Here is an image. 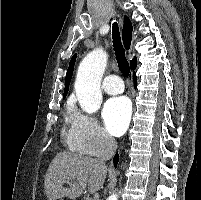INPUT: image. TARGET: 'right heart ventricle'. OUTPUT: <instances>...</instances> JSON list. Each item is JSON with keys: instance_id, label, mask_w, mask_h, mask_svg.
<instances>
[{"instance_id": "obj_1", "label": "right heart ventricle", "mask_w": 201, "mask_h": 200, "mask_svg": "<svg viewBox=\"0 0 201 200\" xmlns=\"http://www.w3.org/2000/svg\"><path fill=\"white\" fill-rule=\"evenodd\" d=\"M71 113H72V111H71V109L69 108V109H68V113H67V116H68L69 119H71ZM66 138H67V143H68L70 149H72L73 151H76V152H80L77 148L74 147V145H73L72 142H71V139H70V129H69V130L67 131V133H66ZM80 153H81V152H80Z\"/></svg>"}]
</instances>
